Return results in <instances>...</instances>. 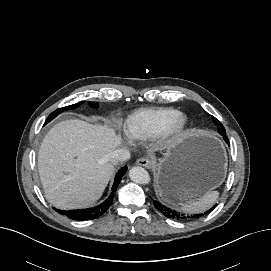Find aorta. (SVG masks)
Wrapping results in <instances>:
<instances>
[{
    "label": "aorta",
    "mask_w": 271,
    "mask_h": 271,
    "mask_svg": "<svg viewBox=\"0 0 271 271\" xmlns=\"http://www.w3.org/2000/svg\"><path fill=\"white\" fill-rule=\"evenodd\" d=\"M129 177L138 184H148L150 182L149 173L142 167L134 166L129 171Z\"/></svg>",
    "instance_id": "aorta-1"
}]
</instances>
